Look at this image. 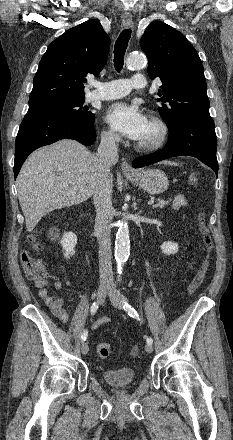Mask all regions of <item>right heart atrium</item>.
<instances>
[{
  "label": "right heart atrium",
  "instance_id": "right-heart-atrium-1",
  "mask_svg": "<svg viewBox=\"0 0 233 440\" xmlns=\"http://www.w3.org/2000/svg\"><path fill=\"white\" fill-rule=\"evenodd\" d=\"M102 140L109 145H114L118 141V136L111 129H106L102 132Z\"/></svg>",
  "mask_w": 233,
  "mask_h": 440
}]
</instances>
